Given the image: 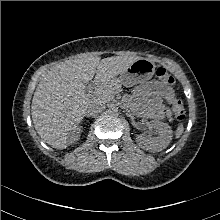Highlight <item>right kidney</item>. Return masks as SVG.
Returning <instances> with one entry per match:
<instances>
[{"instance_id":"obj_1","label":"right kidney","mask_w":220,"mask_h":220,"mask_svg":"<svg viewBox=\"0 0 220 220\" xmlns=\"http://www.w3.org/2000/svg\"><path fill=\"white\" fill-rule=\"evenodd\" d=\"M81 132H82V126L75 128L69 136L70 143H75L79 139Z\"/></svg>"}]
</instances>
